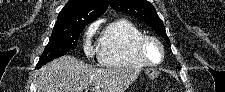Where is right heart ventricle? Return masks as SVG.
Segmentation results:
<instances>
[{"mask_svg": "<svg viewBox=\"0 0 225 92\" xmlns=\"http://www.w3.org/2000/svg\"><path fill=\"white\" fill-rule=\"evenodd\" d=\"M144 33L133 22L119 18L105 26L99 41V61L106 67L140 68L144 64L136 42Z\"/></svg>", "mask_w": 225, "mask_h": 92, "instance_id": "1", "label": "right heart ventricle"}]
</instances>
